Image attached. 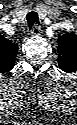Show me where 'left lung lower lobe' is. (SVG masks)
I'll return each mask as SVG.
<instances>
[{
	"mask_svg": "<svg viewBox=\"0 0 77 125\" xmlns=\"http://www.w3.org/2000/svg\"><path fill=\"white\" fill-rule=\"evenodd\" d=\"M61 69L65 72H72L74 70L72 68H66V67H61Z\"/></svg>",
	"mask_w": 77,
	"mask_h": 125,
	"instance_id": "1",
	"label": "left lung lower lobe"
}]
</instances>
